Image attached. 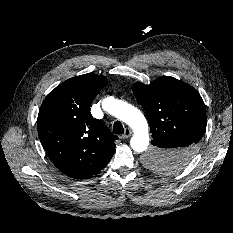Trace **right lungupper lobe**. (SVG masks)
<instances>
[{
  "label": "right lung upper lobe",
  "instance_id": "obj_1",
  "mask_svg": "<svg viewBox=\"0 0 233 233\" xmlns=\"http://www.w3.org/2000/svg\"><path fill=\"white\" fill-rule=\"evenodd\" d=\"M106 83L104 76L91 73L70 78L48 94L39 110L41 144L53 164L69 177L95 175L114 154L118 137L89 111Z\"/></svg>",
  "mask_w": 233,
  "mask_h": 233
}]
</instances>
